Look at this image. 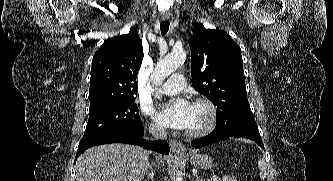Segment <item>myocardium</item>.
I'll use <instances>...</instances> for the list:
<instances>
[{"label":"myocardium","instance_id":"obj_1","mask_svg":"<svg viewBox=\"0 0 333 181\" xmlns=\"http://www.w3.org/2000/svg\"><path fill=\"white\" fill-rule=\"evenodd\" d=\"M195 106H201L206 113L205 123L194 130H187L186 135L189 137H201L211 132L217 123V110L213 102L207 98H196L193 103Z\"/></svg>","mask_w":333,"mask_h":181}]
</instances>
